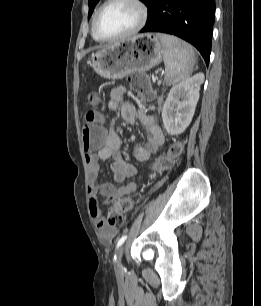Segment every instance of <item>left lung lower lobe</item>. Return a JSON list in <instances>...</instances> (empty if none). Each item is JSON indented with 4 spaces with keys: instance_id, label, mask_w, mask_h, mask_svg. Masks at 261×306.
<instances>
[{
    "instance_id": "0a47b994",
    "label": "left lung lower lobe",
    "mask_w": 261,
    "mask_h": 306,
    "mask_svg": "<svg viewBox=\"0 0 261 306\" xmlns=\"http://www.w3.org/2000/svg\"><path fill=\"white\" fill-rule=\"evenodd\" d=\"M143 32L178 36L196 47L209 64L215 0H151Z\"/></svg>"
}]
</instances>
